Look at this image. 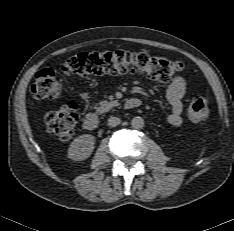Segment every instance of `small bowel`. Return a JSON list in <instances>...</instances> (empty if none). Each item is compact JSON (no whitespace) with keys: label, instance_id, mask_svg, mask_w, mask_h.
I'll return each instance as SVG.
<instances>
[{"label":"small bowel","instance_id":"small-bowel-1","mask_svg":"<svg viewBox=\"0 0 234 231\" xmlns=\"http://www.w3.org/2000/svg\"><path fill=\"white\" fill-rule=\"evenodd\" d=\"M185 88L184 79L180 76H176L166 90V99L171 106V113L168 116V121L174 127H178L182 124Z\"/></svg>","mask_w":234,"mask_h":231}]
</instances>
